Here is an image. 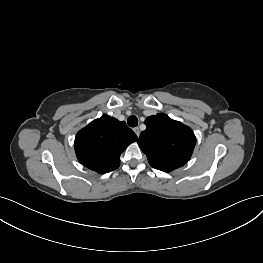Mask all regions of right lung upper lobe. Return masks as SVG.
Returning a JSON list of instances; mask_svg holds the SVG:
<instances>
[{
  "label": "right lung upper lobe",
  "mask_w": 263,
  "mask_h": 263,
  "mask_svg": "<svg viewBox=\"0 0 263 263\" xmlns=\"http://www.w3.org/2000/svg\"><path fill=\"white\" fill-rule=\"evenodd\" d=\"M137 139L124 121L103 115L77 133L74 147L82 165L104 174L119 167L121 153Z\"/></svg>",
  "instance_id": "right-lung-upper-lobe-1"
}]
</instances>
